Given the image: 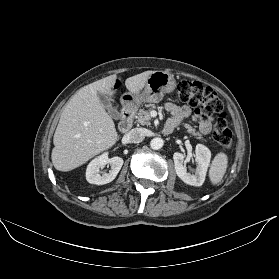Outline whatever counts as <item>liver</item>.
<instances>
[{"label": "liver", "mask_w": 279, "mask_h": 279, "mask_svg": "<svg viewBox=\"0 0 279 279\" xmlns=\"http://www.w3.org/2000/svg\"><path fill=\"white\" fill-rule=\"evenodd\" d=\"M153 72L145 71L127 78L126 88L132 94H139ZM116 79V75H110L86 85L68 102L53 138L51 159L55 169L71 171L115 145L118 133L98 93L112 97Z\"/></svg>", "instance_id": "obj_1"}]
</instances>
